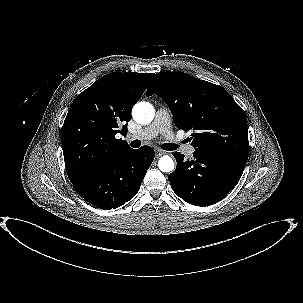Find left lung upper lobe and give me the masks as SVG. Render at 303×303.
<instances>
[{"label":"left lung upper lobe","mask_w":303,"mask_h":303,"mask_svg":"<svg viewBox=\"0 0 303 303\" xmlns=\"http://www.w3.org/2000/svg\"><path fill=\"white\" fill-rule=\"evenodd\" d=\"M161 97L173 113L175 125L191 130L196 151L249 154L244 111L221 86L184 72L157 73L146 95Z\"/></svg>","instance_id":"1"}]
</instances>
